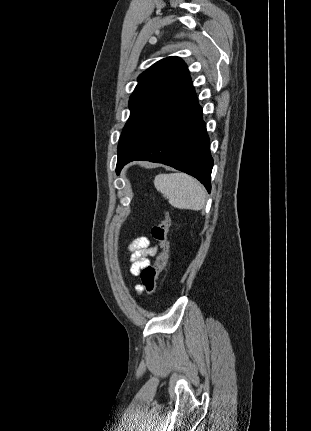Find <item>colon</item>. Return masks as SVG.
Here are the masks:
<instances>
[{"label":"colon","instance_id":"obj_1","mask_svg":"<svg viewBox=\"0 0 311 431\" xmlns=\"http://www.w3.org/2000/svg\"><path fill=\"white\" fill-rule=\"evenodd\" d=\"M171 226L170 215L167 211L163 212L162 220L153 227L152 235L160 246V252L156 261L152 265L146 266L141 272L143 287L150 295H155L158 290V276L165 267L170 255V242L168 233Z\"/></svg>","mask_w":311,"mask_h":431}]
</instances>
